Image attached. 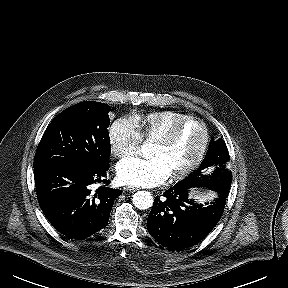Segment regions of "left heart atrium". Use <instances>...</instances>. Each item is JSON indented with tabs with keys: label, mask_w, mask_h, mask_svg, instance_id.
<instances>
[{
	"label": "left heart atrium",
	"mask_w": 288,
	"mask_h": 288,
	"mask_svg": "<svg viewBox=\"0 0 288 288\" xmlns=\"http://www.w3.org/2000/svg\"><path fill=\"white\" fill-rule=\"evenodd\" d=\"M116 172L121 184L137 187H154L170 176V171L160 156L148 159L127 157L117 164Z\"/></svg>",
	"instance_id": "1"
}]
</instances>
